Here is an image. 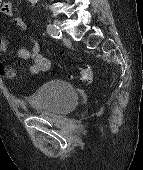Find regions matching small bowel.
<instances>
[{
	"mask_svg": "<svg viewBox=\"0 0 143 170\" xmlns=\"http://www.w3.org/2000/svg\"><path fill=\"white\" fill-rule=\"evenodd\" d=\"M0 12L4 16L13 17L14 10L11 3H3V0H0ZM12 22L14 26L20 30H26L27 26L24 20L21 17H13ZM8 41L4 38L0 39V54L7 51ZM18 57L22 60H29L32 62L29 67V75L39 74L50 69V62L40 53V47L37 42H34L30 49L21 48L18 51ZM15 72L12 68L4 65L0 60V76L6 78H13Z\"/></svg>",
	"mask_w": 143,
	"mask_h": 170,
	"instance_id": "small-bowel-1",
	"label": "small bowel"
}]
</instances>
